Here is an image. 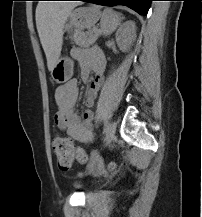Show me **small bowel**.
<instances>
[{
	"instance_id": "small-bowel-1",
	"label": "small bowel",
	"mask_w": 202,
	"mask_h": 217,
	"mask_svg": "<svg viewBox=\"0 0 202 217\" xmlns=\"http://www.w3.org/2000/svg\"><path fill=\"white\" fill-rule=\"evenodd\" d=\"M72 56L80 66L81 77L88 83L84 104L86 110L80 116L75 105L79 98V87L76 79H71L57 87L55 91V103L57 112L54 120L56 125L64 130L74 141L89 143L93 140L94 113L90 109L95 102L99 90L103 85V72L105 60L96 50H81L75 48ZM93 70L94 78L89 81V73Z\"/></svg>"
}]
</instances>
